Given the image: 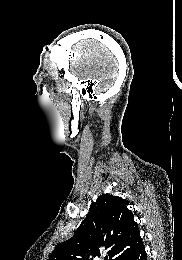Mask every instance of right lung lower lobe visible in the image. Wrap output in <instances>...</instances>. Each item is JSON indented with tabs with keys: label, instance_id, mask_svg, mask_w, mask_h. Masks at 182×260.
I'll use <instances>...</instances> for the list:
<instances>
[{
	"label": "right lung lower lobe",
	"instance_id": "1",
	"mask_svg": "<svg viewBox=\"0 0 182 260\" xmlns=\"http://www.w3.org/2000/svg\"><path fill=\"white\" fill-rule=\"evenodd\" d=\"M117 260H147V254L142 240L127 251L123 252Z\"/></svg>",
	"mask_w": 182,
	"mask_h": 260
}]
</instances>
